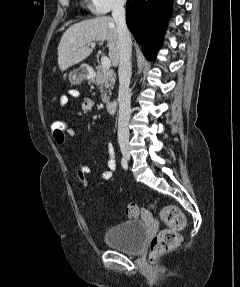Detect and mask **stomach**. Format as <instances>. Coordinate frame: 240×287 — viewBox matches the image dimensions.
<instances>
[{"mask_svg":"<svg viewBox=\"0 0 240 287\" xmlns=\"http://www.w3.org/2000/svg\"><path fill=\"white\" fill-rule=\"evenodd\" d=\"M88 77V69L86 66H81L70 73L69 79L71 83L78 84Z\"/></svg>","mask_w":240,"mask_h":287,"instance_id":"0dacf381","label":"stomach"}]
</instances>
